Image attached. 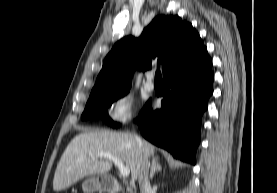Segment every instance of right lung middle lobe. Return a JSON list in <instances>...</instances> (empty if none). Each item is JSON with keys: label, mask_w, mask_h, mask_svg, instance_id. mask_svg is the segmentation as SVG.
Returning <instances> with one entry per match:
<instances>
[{"label": "right lung middle lobe", "mask_w": 277, "mask_h": 193, "mask_svg": "<svg viewBox=\"0 0 277 193\" xmlns=\"http://www.w3.org/2000/svg\"><path fill=\"white\" fill-rule=\"evenodd\" d=\"M130 88L116 90V91H103L90 94L86 103L85 110L81 116L82 120L101 116V118L113 127L119 124L114 123L107 114V108L118 98L125 96Z\"/></svg>", "instance_id": "right-lung-middle-lobe-1"}]
</instances>
